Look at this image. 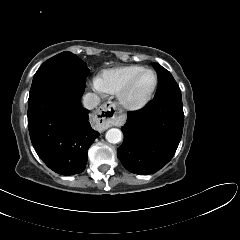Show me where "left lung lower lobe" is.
I'll list each match as a JSON object with an SVG mask.
<instances>
[{"label": "left lung lower lobe", "mask_w": 240, "mask_h": 240, "mask_svg": "<svg viewBox=\"0 0 240 240\" xmlns=\"http://www.w3.org/2000/svg\"><path fill=\"white\" fill-rule=\"evenodd\" d=\"M183 123L182 99L177 95L154 97L141 110L128 112L119 160L131 173H155L175 154Z\"/></svg>", "instance_id": "0a47b994"}]
</instances>
